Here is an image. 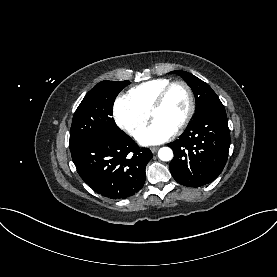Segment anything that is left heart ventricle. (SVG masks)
<instances>
[{
  "mask_svg": "<svg viewBox=\"0 0 277 277\" xmlns=\"http://www.w3.org/2000/svg\"><path fill=\"white\" fill-rule=\"evenodd\" d=\"M189 99L186 90L175 86L168 94L163 106L151 115L153 120H162L177 128L188 111Z\"/></svg>",
  "mask_w": 277,
  "mask_h": 277,
  "instance_id": "obj_1",
  "label": "left heart ventricle"
}]
</instances>
